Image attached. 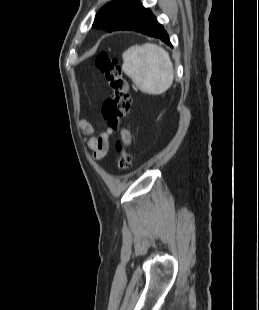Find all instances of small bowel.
Segmentation results:
<instances>
[{"mask_svg":"<svg viewBox=\"0 0 259 310\" xmlns=\"http://www.w3.org/2000/svg\"><path fill=\"white\" fill-rule=\"evenodd\" d=\"M80 130L86 135L85 145L92 152L95 159H102L109 149V137L112 134L110 128L104 129L98 136L94 135L92 125L86 120L78 122ZM122 139L129 145L132 141L131 133L128 130L122 131Z\"/></svg>","mask_w":259,"mask_h":310,"instance_id":"small-bowel-1","label":"small bowel"}]
</instances>
